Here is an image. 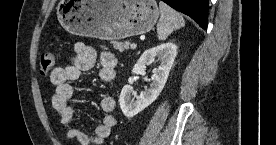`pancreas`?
Wrapping results in <instances>:
<instances>
[{
  "instance_id": "1",
  "label": "pancreas",
  "mask_w": 276,
  "mask_h": 145,
  "mask_svg": "<svg viewBox=\"0 0 276 145\" xmlns=\"http://www.w3.org/2000/svg\"><path fill=\"white\" fill-rule=\"evenodd\" d=\"M113 45H114L115 49L119 50L120 52H123V51L129 49L130 43L128 41H125V42H114Z\"/></svg>"
}]
</instances>
